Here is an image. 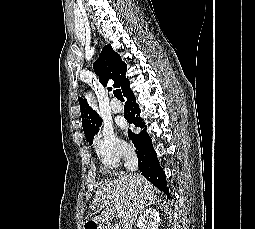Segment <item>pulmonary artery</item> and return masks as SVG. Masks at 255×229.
Here are the masks:
<instances>
[{
    "instance_id": "e3ab8cb5",
    "label": "pulmonary artery",
    "mask_w": 255,
    "mask_h": 229,
    "mask_svg": "<svg viewBox=\"0 0 255 229\" xmlns=\"http://www.w3.org/2000/svg\"><path fill=\"white\" fill-rule=\"evenodd\" d=\"M110 105H111V109L115 113H120L123 110L122 104L116 99H112L110 102Z\"/></svg>"
}]
</instances>
